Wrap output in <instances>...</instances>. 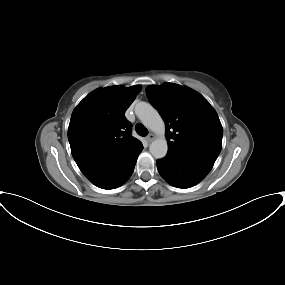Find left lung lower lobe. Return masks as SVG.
Returning a JSON list of instances; mask_svg holds the SVG:
<instances>
[{
  "label": "left lung lower lobe",
  "instance_id": "0a47b994",
  "mask_svg": "<svg viewBox=\"0 0 285 285\" xmlns=\"http://www.w3.org/2000/svg\"><path fill=\"white\" fill-rule=\"evenodd\" d=\"M213 166L188 157L167 153L157 160L160 175L172 186L189 188L199 183Z\"/></svg>",
  "mask_w": 285,
  "mask_h": 285
}]
</instances>
